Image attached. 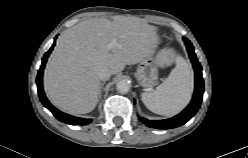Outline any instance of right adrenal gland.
Instances as JSON below:
<instances>
[{"instance_id": "right-adrenal-gland-1", "label": "right adrenal gland", "mask_w": 248, "mask_h": 158, "mask_svg": "<svg viewBox=\"0 0 248 158\" xmlns=\"http://www.w3.org/2000/svg\"><path fill=\"white\" fill-rule=\"evenodd\" d=\"M104 84H105V83H101V85H100V95H99V99H101V92H102V88H103Z\"/></svg>"}]
</instances>
